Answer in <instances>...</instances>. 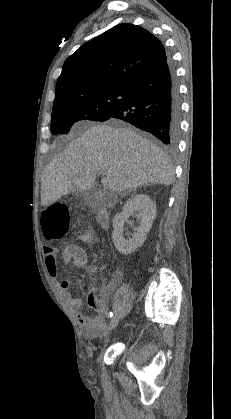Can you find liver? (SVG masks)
<instances>
[{"mask_svg":"<svg viewBox=\"0 0 231 419\" xmlns=\"http://www.w3.org/2000/svg\"><path fill=\"white\" fill-rule=\"evenodd\" d=\"M96 174L104 175V189L121 193L149 184L170 185L174 172L156 144L128 128L99 124L73 140L46 166L41 205L49 206L75 190H91Z\"/></svg>","mask_w":231,"mask_h":419,"instance_id":"obj_1","label":"liver"}]
</instances>
